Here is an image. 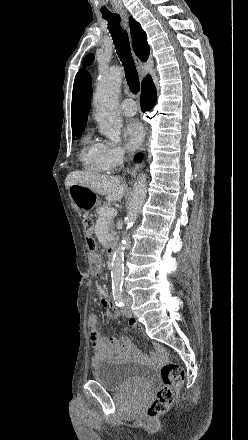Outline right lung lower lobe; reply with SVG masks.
<instances>
[{"mask_svg":"<svg viewBox=\"0 0 248 440\" xmlns=\"http://www.w3.org/2000/svg\"><path fill=\"white\" fill-rule=\"evenodd\" d=\"M157 96H156V88L151 78L147 79L142 84V93H141V109L143 112L151 110L156 104ZM137 160H141V157L138 156Z\"/></svg>","mask_w":248,"mask_h":440,"instance_id":"obj_1","label":"right lung lower lobe"}]
</instances>
